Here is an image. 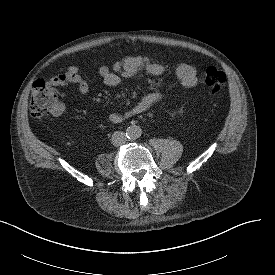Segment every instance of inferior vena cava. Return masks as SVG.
Masks as SVG:
<instances>
[{"instance_id": "602c4592", "label": "inferior vena cava", "mask_w": 275, "mask_h": 275, "mask_svg": "<svg viewBox=\"0 0 275 275\" xmlns=\"http://www.w3.org/2000/svg\"><path fill=\"white\" fill-rule=\"evenodd\" d=\"M111 140L114 146H121L126 143V134L121 131H116L113 133Z\"/></svg>"}]
</instances>
